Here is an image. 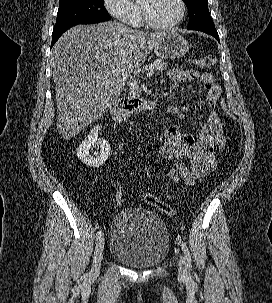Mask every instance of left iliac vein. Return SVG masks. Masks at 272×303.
I'll list each match as a JSON object with an SVG mask.
<instances>
[{
  "label": "left iliac vein",
  "mask_w": 272,
  "mask_h": 303,
  "mask_svg": "<svg viewBox=\"0 0 272 303\" xmlns=\"http://www.w3.org/2000/svg\"><path fill=\"white\" fill-rule=\"evenodd\" d=\"M178 270H179V274L181 276H186L188 273L186 259L182 254H180V257L178 260Z\"/></svg>",
  "instance_id": "4c4485c4"
}]
</instances>
